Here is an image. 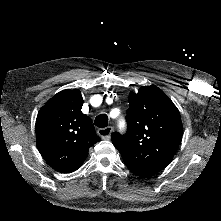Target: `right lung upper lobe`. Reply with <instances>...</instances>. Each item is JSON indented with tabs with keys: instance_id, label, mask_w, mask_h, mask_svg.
<instances>
[{
	"instance_id": "1",
	"label": "right lung upper lobe",
	"mask_w": 221,
	"mask_h": 221,
	"mask_svg": "<svg viewBox=\"0 0 221 221\" xmlns=\"http://www.w3.org/2000/svg\"><path fill=\"white\" fill-rule=\"evenodd\" d=\"M82 105L80 91L66 89L47 101L36 119L37 147L45 161L62 173L77 170L89 148L101 140Z\"/></svg>"
}]
</instances>
